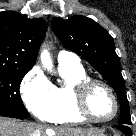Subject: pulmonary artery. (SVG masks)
Returning <instances> with one entry per match:
<instances>
[{"instance_id": "e3ab8cb5", "label": "pulmonary artery", "mask_w": 136, "mask_h": 136, "mask_svg": "<svg viewBox=\"0 0 136 136\" xmlns=\"http://www.w3.org/2000/svg\"><path fill=\"white\" fill-rule=\"evenodd\" d=\"M58 62L59 64L80 65L78 56L67 51H61L58 54Z\"/></svg>"}]
</instances>
